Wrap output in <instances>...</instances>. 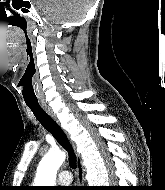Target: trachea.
<instances>
[{
  "label": "trachea",
  "instance_id": "1",
  "mask_svg": "<svg viewBox=\"0 0 165 190\" xmlns=\"http://www.w3.org/2000/svg\"><path fill=\"white\" fill-rule=\"evenodd\" d=\"M42 126L50 132L57 142L68 152L69 165L76 169L77 160L72 146L61 127L41 108L39 103H26Z\"/></svg>",
  "mask_w": 165,
  "mask_h": 190
}]
</instances>
